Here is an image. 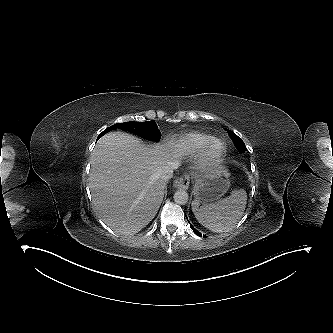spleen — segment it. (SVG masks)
Here are the masks:
<instances>
[{
  "label": "spleen",
  "instance_id": "3e777b00",
  "mask_svg": "<svg viewBox=\"0 0 333 333\" xmlns=\"http://www.w3.org/2000/svg\"><path fill=\"white\" fill-rule=\"evenodd\" d=\"M247 195L244 189L233 190L229 197L215 203H192L193 213L200 224L213 232H228L241 219L246 205Z\"/></svg>",
  "mask_w": 333,
  "mask_h": 333
}]
</instances>
